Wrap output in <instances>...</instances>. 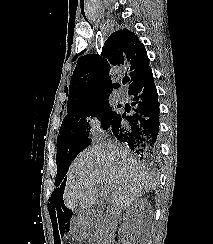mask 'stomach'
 Wrapping results in <instances>:
<instances>
[{"label":"stomach","mask_w":213,"mask_h":244,"mask_svg":"<svg viewBox=\"0 0 213 244\" xmlns=\"http://www.w3.org/2000/svg\"><path fill=\"white\" fill-rule=\"evenodd\" d=\"M74 224L75 225L71 229V234H73L78 239L84 238L86 235L84 229V221H75Z\"/></svg>","instance_id":"obj_1"}]
</instances>
